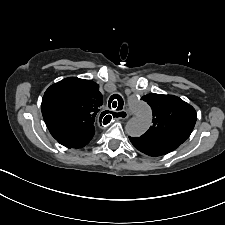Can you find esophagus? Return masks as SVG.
I'll return each mask as SVG.
<instances>
[{
	"label": "esophagus",
	"instance_id": "obj_1",
	"mask_svg": "<svg viewBox=\"0 0 225 225\" xmlns=\"http://www.w3.org/2000/svg\"><path fill=\"white\" fill-rule=\"evenodd\" d=\"M129 117V113L127 110L118 111L116 113V119H127Z\"/></svg>",
	"mask_w": 225,
	"mask_h": 225
}]
</instances>
